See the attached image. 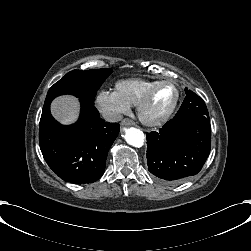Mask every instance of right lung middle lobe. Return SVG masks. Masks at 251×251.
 Masks as SVG:
<instances>
[{"label": "right lung middle lobe", "instance_id": "obj_1", "mask_svg": "<svg viewBox=\"0 0 251 251\" xmlns=\"http://www.w3.org/2000/svg\"><path fill=\"white\" fill-rule=\"evenodd\" d=\"M111 73V69L70 71L49 89L43 109L49 107L55 97L63 94H72L79 99L94 103L98 89Z\"/></svg>", "mask_w": 251, "mask_h": 251}]
</instances>
